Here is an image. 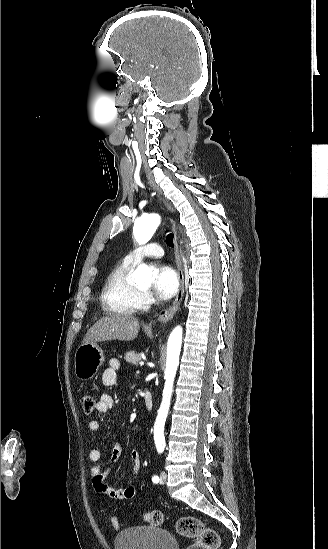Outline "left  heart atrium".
Masks as SVG:
<instances>
[{"label": "left heart atrium", "mask_w": 328, "mask_h": 549, "mask_svg": "<svg viewBox=\"0 0 328 549\" xmlns=\"http://www.w3.org/2000/svg\"><path fill=\"white\" fill-rule=\"evenodd\" d=\"M179 288V277L170 265H163L155 269L152 291L160 300L173 297Z\"/></svg>", "instance_id": "1"}]
</instances>
